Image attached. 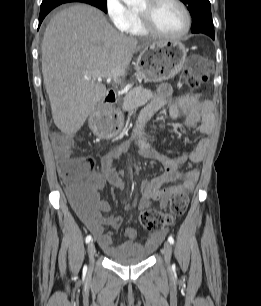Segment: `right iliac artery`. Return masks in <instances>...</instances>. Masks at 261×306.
Wrapping results in <instances>:
<instances>
[{"label":"right iliac artery","instance_id":"82829eb1","mask_svg":"<svg viewBox=\"0 0 261 306\" xmlns=\"http://www.w3.org/2000/svg\"><path fill=\"white\" fill-rule=\"evenodd\" d=\"M92 237L91 235H88L85 239L86 243H89L91 241Z\"/></svg>","mask_w":261,"mask_h":306}]
</instances>
